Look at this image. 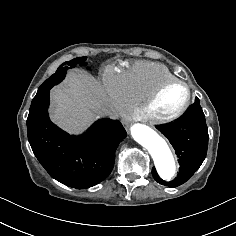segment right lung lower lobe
Segmentation results:
<instances>
[{"label":"right lung lower lobe","instance_id":"obj_1","mask_svg":"<svg viewBox=\"0 0 236 236\" xmlns=\"http://www.w3.org/2000/svg\"><path fill=\"white\" fill-rule=\"evenodd\" d=\"M50 89L36 95L31 103L27 119L31 148L60 183L77 189L92 187L111 173L115 151L127 133L118 120L104 118L80 136L69 135L49 119Z\"/></svg>","mask_w":236,"mask_h":236}]
</instances>
